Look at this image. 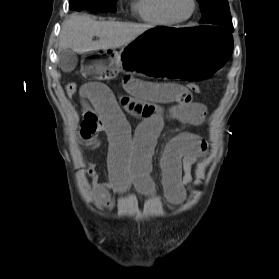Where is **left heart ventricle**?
I'll list each match as a JSON object with an SVG mask.
<instances>
[{
  "mask_svg": "<svg viewBox=\"0 0 279 279\" xmlns=\"http://www.w3.org/2000/svg\"><path fill=\"white\" fill-rule=\"evenodd\" d=\"M172 12L178 17L187 16L192 9L191 0H169Z\"/></svg>",
  "mask_w": 279,
  "mask_h": 279,
  "instance_id": "1",
  "label": "left heart ventricle"
}]
</instances>
